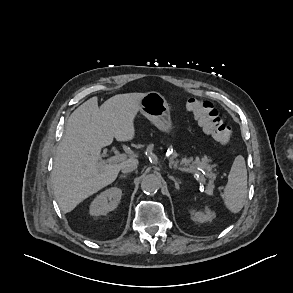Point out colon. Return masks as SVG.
<instances>
[{"mask_svg": "<svg viewBox=\"0 0 293 293\" xmlns=\"http://www.w3.org/2000/svg\"><path fill=\"white\" fill-rule=\"evenodd\" d=\"M186 108L215 141L226 144L231 140L232 128L224 123L211 102L190 97L186 100Z\"/></svg>", "mask_w": 293, "mask_h": 293, "instance_id": "obj_1", "label": "colon"}]
</instances>
